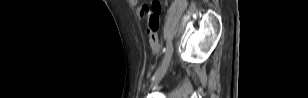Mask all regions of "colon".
Segmentation results:
<instances>
[{"label":"colon","instance_id":"1","mask_svg":"<svg viewBox=\"0 0 308 98\" xmlns=\"http://www.w3.org/2000/svg\"><path fill=\"white\" fill-rule=\"evenodd\" d=\"M161 10V3L159 1H153L149 5H144L139 11V14L141 16L147 17L149 21L147 32L149 36L150 46L154 52H159L160 50L157 31L160 30V25L158 23Z\"/></svg>","mask_w":308,"mask_h":98}]
</instances>
